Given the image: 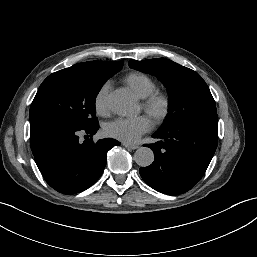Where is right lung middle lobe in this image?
I'll return each mask as SVG.
<instances>
[{
    "label": "right lung middle lobe",
    "instance_id": "dd1d6c3e",
    "mask_svg": "<svg viewBox=\"0 0 257 257\" xmlns=\"http://www.w3.org/2000/svg\"><path fill=\"white\" fill-rule=\"evenodd\" d=\"M113 75H101L77 64L49 75L31 104L30 122L52 121L79 129L98 124L95 98Z\"/></svg>",
    "mask_w": 257,
    "mask_h": 257
}]
</instances>
